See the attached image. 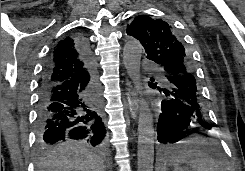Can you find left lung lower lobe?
Returning <instances> with one entry per match:
<instances>
[{"label":"left lung lower lobe","instance_id":"left-lung-lower-lobe-1","mask_svg":"<svg viewBox=\"0 0 245 171\" xmlns=\"http://www.w3.org/2000/svg\"><path fill=\"white\" fill-rule=\"evenodd\" d=\"M167 88L157 86L151 79L149 86L158 89L164 99L158 119V141L162 144L178 142L187 136L188 128L195 125L200 134L211 129L199 85L190 68L171 60L161 66Z\"/></svg>","mask_w":245,"mask_h":171}]
</instances>
